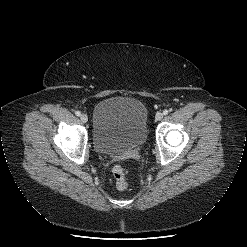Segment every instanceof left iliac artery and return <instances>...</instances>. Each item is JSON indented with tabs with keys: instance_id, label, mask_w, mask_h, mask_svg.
<instances>
[{
	"instance_id": "left-iliac-artery-1",
	"label": "left iliac artery",
	"mask_w": 247,
	"mask_h": 247,
	"mask_svg": "<svg viewBox=\"0 0 247 247\" xmlns=\"http://www.w3.org/2000/svg\"><path fill=\"white\" fill-rule=\"evenodd\" d=\"M169 113V111L167 110V109H165L164 111H163V114L164 115H167Z\"/></svg>"
}]
</instances>
